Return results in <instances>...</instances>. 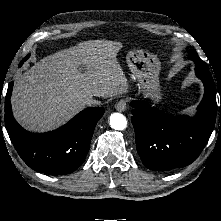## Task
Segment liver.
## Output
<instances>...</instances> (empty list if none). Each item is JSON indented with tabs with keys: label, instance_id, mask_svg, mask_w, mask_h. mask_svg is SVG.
Wrapping results in <instances>:
<instances>
[{
	"label": "liver",
	"instance_id": "6515ba94",
	"mask_svg": "<svg viewBox=\"0 0 221 221\" xmlns=\"http://www.w3.org/2000/svg\"><path fill=\"white\" fill-rule=\"evenodd\" d=\"M122 43L90 40L44 57L17 75L11 105L26 129L44 132L84 109L87 97H113L128 91L117 61Z\"/></svg>",
	"mask_w": 221,
	"mask_h": 221
}]
</instances>
